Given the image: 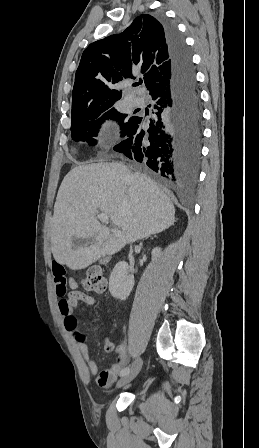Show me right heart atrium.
<instances>
[{
  "label": "right heart atrium",
  "mask_w": 259,
  "mask_h": 448,
  "mask_svg": "<svg viewBox=\"0 0 259 448\" xmlns=\"http://www.w3.org/2000/svg\"><path fill=\"white\" fill-rule=\"evenodd\" d=\"M96 139L99 143H104L106 141L104 128H100L96 132Z\"/></svg>",
  "instance_id": "d8ad5b80"
}]
</instances>
